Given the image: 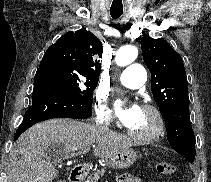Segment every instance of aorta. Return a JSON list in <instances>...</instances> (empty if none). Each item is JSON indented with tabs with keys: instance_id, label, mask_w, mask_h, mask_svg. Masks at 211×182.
<instances>
[{
	"instance_id": "1",
	"label": "aorta",
	"mask_w": 211,
	"mask_h": 182,
	"mask_svg": "<svg viewBox=\"0 0 211 182\" xmlns=\"http://www.w3.org/2000/svg\"><path fill=\"white\" fill-rule=\"evenodd\" d=\"M138 55V50L136 47L131 45H126L121 47L115 57V62L118 66H126L131 64Z\"/></svg>"
}]
</instances>
